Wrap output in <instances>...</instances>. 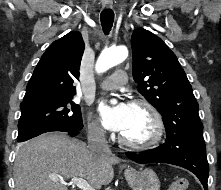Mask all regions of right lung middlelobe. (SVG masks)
Instances as JSON below:
<instances>
[{
	"label": "right lung middle lobe",
	"mask_w": 221,
	"mask_h": 190,
	"mask_svg": "<svg viewBox=\"0 0 221 190\" xmlns=\"http://www.w3.org/2000/svg\"><path fill=\"white\" fill-rule=\"evenodd\" d=\"M73 97L22 105L18 123V142L53 131L77 132L83 128L80 106Z\"/></svg>",
	"instance_id": "1"
}]
</instances>
